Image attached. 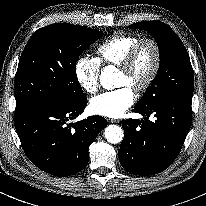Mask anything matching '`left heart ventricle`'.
I'll return each instance as SVG.
<instances>
[{"label": "left heart ventricle", "mask_w": 206, "mask_h": 206, "mask_svg": "<svg viewBox=\"0 0 206 206\" xmlns=\"http://www.w3.org/2000/svg\"><path fill=\"white\" fill-rule=\"evenodd\" d=\"M154 60L153 49L145 44L137 57L136 63L130 74L119 73L118 87H133L142 83L149 75Z\"/></svg>", "instance_id": "1"}]
</instances>
